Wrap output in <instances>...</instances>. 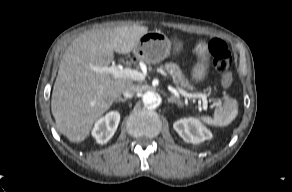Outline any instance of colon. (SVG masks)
Listing matches in <instances>:
<instances>
[{
    "mask_svg": "<svg viewBox=\"0 0 292 192\" xmlns=\"http://www.w3.org/2000/svg\"><path fill=\"white\" fill-rule=\"evenodd\" d=\"M209 50L213 57L215 68L222 74L221 85L229 89L233 83L230 67L232 65V54L226 43L220 39H213L209 43Z\"/></svg>",
    "mask_w": 292,
    "mask_h": 192,
    "instance_id": "obj_1",
    "label": "colon"
}]
</instances>
